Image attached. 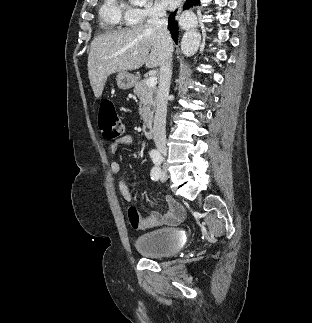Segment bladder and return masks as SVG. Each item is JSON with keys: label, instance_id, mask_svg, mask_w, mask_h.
Segmentation results:
<instances>
[{"label": "bladder", "instance_id": "31cf9c89", "mask_svg": "<svg viewBox=\"0 0 312 323\" xmlns=\"http://www.w3.org/2000/svg\"><path fill=\"white\" fill-rule=\"evenodd\" d=\"M135 246L142 257H171L179 249L178 231L159 229L136 237Z\"/></svg>", "mask_w": 312, "mask_h": 323}]
</instances>
